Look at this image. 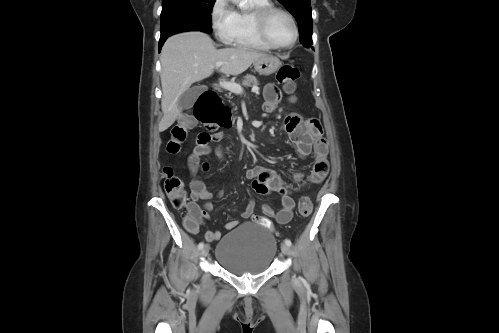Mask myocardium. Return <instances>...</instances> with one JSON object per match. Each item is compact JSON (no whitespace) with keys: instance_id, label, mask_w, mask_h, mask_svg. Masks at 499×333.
Segmentation results:
<instances>
[{"instance_id":"myocardium-1","label":"myocardium","mask_w":499,"mask_h":333,"mask_svg":"<svg viewBox=\"0 0 499 333\" xmlns=\"http://www.w3.org/2000/svg\"><path fill=\"white\" fill-rule=\"evenodd\" d=\"M275 12H280L288 17L290 20L292 27H293V38L290 43L286 45H278L275 44L272 39L270 38L268 31H267V23L270 18V16L275 13ZM254 21H255V26L256 29L260 35V37L263 39L264 42H266L271 48L273 49H288L291 48L292 46L295 45V43L298 40L299 37V29L297 26V22L291 12H289L287 9L275 5H268L264 8H261L257 10L254 14Z\"/></svg>"}]
</instances>
